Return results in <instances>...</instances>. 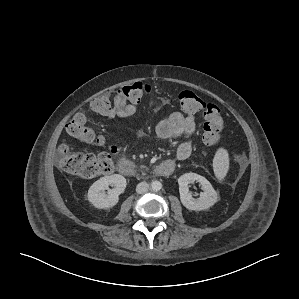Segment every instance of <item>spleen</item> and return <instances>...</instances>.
<instances>
[{
    "instance_id": "obj_1",
    "label": "spleen",
    "mask_w": 299,
    "mask_h": 299,
    "mask_svg": "<svg viewBox=\"0 0 299 299\" xmlns=\"http://www.w3.org/2000/svg\"><path fill=\"white\" fill-rule=\"evenodd\" d=\"M213 169L218 179H223L229 170V154L226 149L219 148L213 159Z\"/></svg>"
}]
</instances>
